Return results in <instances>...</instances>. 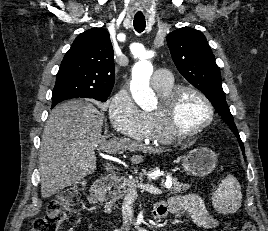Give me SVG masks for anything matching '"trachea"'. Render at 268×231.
<instances>
[{"label": "trachea", "mask_w": 268, "mask_h": 231, "mask_svg": "<svg viewBox=\"0 0 268 231\" xmlns=\"http://www.w3.org/2000/svg\"><path fill=\"white\" fill-rule=\"evenodd\" d=\"M133 25H134L135 30L138 33H141V32H143L145 30L146 21H145V19L134 18Z\"/></svg>", "instance_id": "1"}]
</instances>
